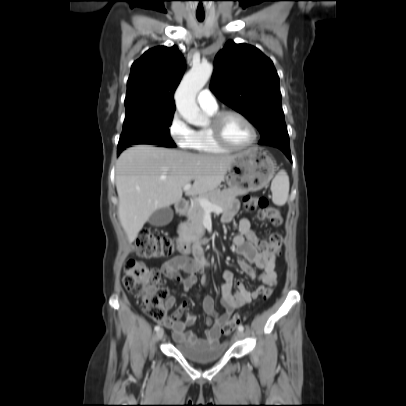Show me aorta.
I'll list each match as a JSON object with an SVG mask.
<instances>
[{"mask_svg":"<svg viewBox=\"0 0 406 406\" xmlns=\"http://www.w3.org/2000/svg\"><path fill=\"white\" fill-rule=\"evenodd\" d=\"M213 72L210 63L194 65L183 77L175 93L176 107L180 115L190 124L204 125L206 117L196 103L197 93L204 87Z\"/></svg>","mask_w":406,"mask_h":406,"instance_id":"aorta-1","label":"aorta"}]
</instances>
